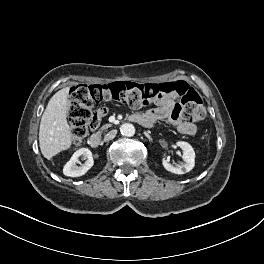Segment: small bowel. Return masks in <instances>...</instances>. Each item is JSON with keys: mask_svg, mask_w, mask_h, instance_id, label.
Wrapping results in <instances>:
<instances>
[{"mask_svg": "<svg viewBox=\"0 0 264 264\" xmlns=\"http://www.w3.org/2000/svg\"><path fill=\"white\" fill-rule=\"evenodd\" d=\"M156 108L148 110L140 116L149 120L152 124L161 121L168 120L174 124L178 131L185 135H194L197 131L196 125L192 122L184 121L182 119L180 106L175 101L174 96H166L155 102ZM103 113H101L102 115ZM139 115V114H138Z\"/></svg>", "mask_w": 264, "mask_h": 264, "instance_id": "obj_1", "label": "small bowel"}]
</instances>
